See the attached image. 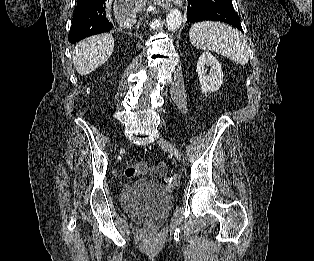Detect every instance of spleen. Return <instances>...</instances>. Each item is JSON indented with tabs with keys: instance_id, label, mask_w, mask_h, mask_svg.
I'll return each instance as SVG.
<instances>
[{
	"instance_id": "1",
	"label": "spleen",
	"mask_w": 314,
	"mask_h": 261,
	"mask_svg": "<svg viewBox=\"0 0 314 261\" xmlns=\"http://www.w3.org/2000/svg\"><path fill=\"white\" fill-rule=\"evenodd\" d=\"M189 39L196 48L214 51L237 64L245 65L249 61V48L243 35L224 23H195L190 28Z\"/></svg>"
}]
</instances>
